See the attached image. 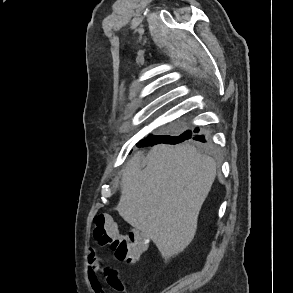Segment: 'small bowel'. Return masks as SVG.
I'll list each match as a JSON object with an SVG mask.
<instances>
[{
  "mask_svg": "<svg viewBox=\"0 0 293 293\" xmlns=\"http://www.w3.org/2000/svg\"><path fill=\"white\" fill-rule=\"evenodd\" d=\"M104 274L107 284L117 293H125L126 288L119 280L117 271L105 267L102 261L96 256L95 250L90 248L88 255L87 279L94 293H106L101 284V276Z\"/></svg>",
  "mask_w": 293,
  "mask_h": 293,
  "instance_id": "1",
  "label": "small bowel"
}]
</instances>
